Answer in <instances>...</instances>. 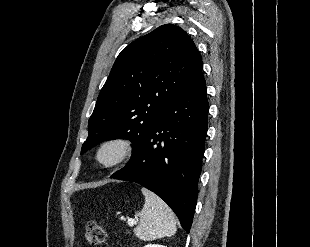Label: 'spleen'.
Segmentation results:
<instances>
[{
    "instance_id": "3e777b00",
    "label": "spleen",
    "mask_w": 310,
    "mask_h": 247,
    "mask_svg": "<svg viewBox=\"0 0 310 247\" xmlns=\"http://www.w3.org/2000/svg\"><path fill=\"white\" fill-rule=\"evenodd\" d=\"M145 196L143 209L138 212L140 223L134 230L143 241L170 237L176 233V220L169 206L153 192L142 188Z\"/></svg>"
}]
</instances>
